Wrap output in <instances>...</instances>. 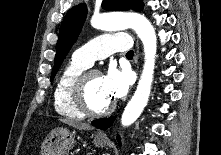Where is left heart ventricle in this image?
<instances>
[{"instance_id":"1","label":"left heart ventricle","mask_w":221,"mask_h":155,"mask_svg":"<svg viewBox=\"0 0 221 155\" xmlns=\"http://www.w3.org/2000/svg\"><path fill=\"white\" fill-rule=\"evenodd\" d=\"M86 97L90 107L94 110H102L112 102L105 91L101 75H94L90 78L86 89Z\"/></svg>"}]
</instances>
